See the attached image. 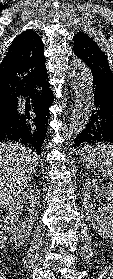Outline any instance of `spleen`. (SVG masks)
<instances>
[{
  "label": "spleen",
  "instance_id": "obj_1",
  "mask_svg": "<svg viewBox=\"0 0 113 279\" xmlns=\"http://www.w3.org/2000/svg\"><path fill=\"white\" fill-rule=\"evenodd\" d=\"M79 154L88 169L100 167L108 174L111 180L109 186L113 191V145L98 143L85 146Z\"/></svg>",
  "mask_w": 113,
  "mask_h": 279
}]
</instances>
